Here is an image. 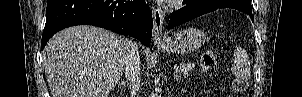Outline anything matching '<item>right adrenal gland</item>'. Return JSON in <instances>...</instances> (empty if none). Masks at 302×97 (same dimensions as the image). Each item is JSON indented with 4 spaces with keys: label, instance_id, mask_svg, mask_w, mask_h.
I'll use <instances>...</instances> for the list:
<instances>
[{
    "label": "right adrenal gland",
    "instance_id": "2a0ac1e0",
    "mask_svg": "<svg viewBox=\"0 0 302 97\" xmlns=\"http://www.w3.org/2000/svg\"><path fill=\"white\" fill-rule=\"evenodd\" d=\"M120 85H122L123 87H125L126 85H128V84H126V81H122L121 83H119Z\"/></svg>",
    "mask_w": 302,
    "mask_h": 97
}]
</instances>
